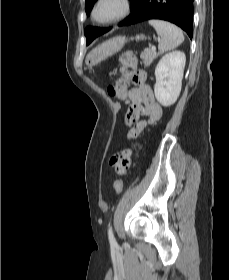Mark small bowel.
I'll use <instances>...</instances> for the list:
<instances>
[{"label":"small bowel","instance_id":"small-bowel-1","mask_svg":"<svg viewBox=\"0 0 229 280\" xmlns=\"http://www.w3.org/2000/svg\"><path fill=\"white\" fill-rule=\"evenodd\" d=\"M130 83L119 88L118 85L109 86L108 93L110 95L116 96L122 101H130V109L128 111L127 118L130 121H136L141 116L148 117L147 121H139L136 123L137 131H142L147 127L148 124H151L162 116V108L156 102L154 94L146 83L137 84L136 87L132 89L129 88ZM133 135L134 132L129 133Z\"/></svg>","mask_w":229,"mask_h":280}]
</instances>
